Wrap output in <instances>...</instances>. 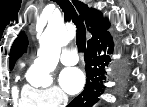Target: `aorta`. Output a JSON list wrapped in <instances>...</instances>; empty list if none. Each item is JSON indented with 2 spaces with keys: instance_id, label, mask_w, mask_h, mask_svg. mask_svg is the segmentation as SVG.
Wrapping results in <instances>:
<instances>
[{
  "instance_id": "762f6f07",
  "label": "aorta",
  "mask_w": 147,
  "mask_h": 107,
  "mask_svg": "<svg viewBox=\"0 0 147 107\" xmlns=\"http://www.w3.org/2000/svg\"><path fill=\"white\" fill-rule=\"evenodd\" d=\"M70 36L62 21H50L40 38L38 58L30 68L34 84L47 87L52 83L50 73L55 70L61 48L67 45Z\"/></svg>"
}]
</instances>
